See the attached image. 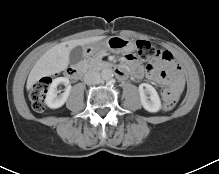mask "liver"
I'll use <instances>...</instances> for the list:
<instances>
[{"label": "liver", "mask_w": 219, "mask_h": 174, "mask_svg": "<svg viewBox=\"0 0 219 174\" xmlns=\"http://www.w3.org/2000/svg\"><path fill=\"white\" fill-rule=\"evenodd\" d=\"M106 36H95L60 43L45 52L35 63L27 79V90L42 77L54 75L65 70L69 64L70 51L76 46L98 42Z\"/></svg>", "instance_id": "liver-1"}]
</instances>
